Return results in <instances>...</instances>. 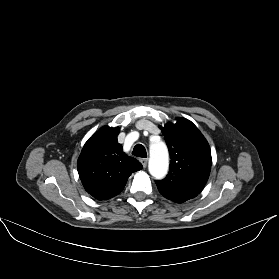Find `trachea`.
<instances>
[{
  "label": "trachea",
  "instance_id": "obj_1",
  "mask_svg": "<svg viewBox=\"0 0 279 279\" xmlns=\"http://www.w3.org/2000/svg\"><path fill=\"white\" fill-rule=\"evenodd\" d=\"M132 154L134 156H137V157H142V158H146L147 157L146 149L141 144L135 145V147L133 148Z\"/></svg>",
  "mask_w": 279,
  "mask_h": 279
}]
</instances>
